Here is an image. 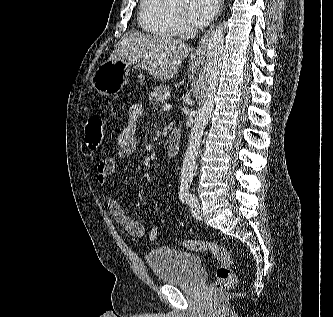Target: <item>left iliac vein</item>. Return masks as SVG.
Instances as JSON below:
<instances>
[{
  "label": "left iliac vein",
  "instance_id": "obj_1",
  "mask_svg": "<svg viewBox=\"0 0 333 317\" xmlns=\"http://www.w3.org/2000/svg\"><path fill=\"white\" fill-rule=\"evenodd\" d=\"M191 212H192V215L197 220H201L203 218L202 210H201V207L199 205V201L198 200H196V202L194 203V205L191 206Z\"/></svg>",
  "mask_w": 333,
  "mask_h": 317
}]
</instances>
